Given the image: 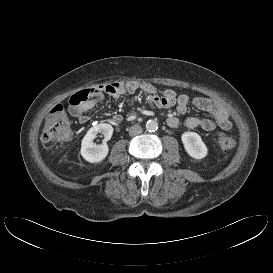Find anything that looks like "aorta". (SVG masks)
Here are the masks:
<instances>
[{
    "instance_id": "1",
    "label": "aorta",
    "mask_w": 273,
    "mask_h": 273,
    "mask_svg": "<svg viewBox=\"0 0 273 273\" xmlns=\"http://www.w3.org/2000/svg\"><path fill=\"white\" fill-rule=\"evenodd\" d=\"M146 129L153 132L158 129V123L155 120H148L146 123Z\"/></svg>"
}]
</instances>
